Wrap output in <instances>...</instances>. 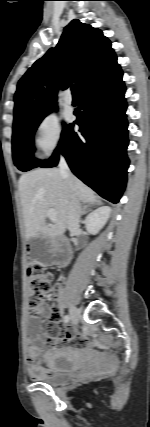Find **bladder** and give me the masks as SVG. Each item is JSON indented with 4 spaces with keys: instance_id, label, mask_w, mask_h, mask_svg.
Here are the masks:
<instances>
[{
    "instance_id": "obj_1",
    "label": "bladder",
    "mask_w": 150,
    "mask_h": 427,
    "mask_svg": "<svg viewBox=\"0 0 150 427\" xmlns=\"http://www.w3.org/2000/svg\"><path fill=\"white\" fill-rule=\"evenodd\" d=\"M76 373V368L66 353H59L47 363V375L44 383L50 386H59L68 382Z\"/></svg>"
}]
</instances>
